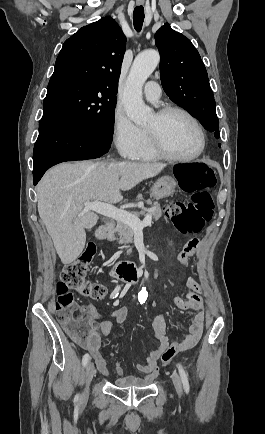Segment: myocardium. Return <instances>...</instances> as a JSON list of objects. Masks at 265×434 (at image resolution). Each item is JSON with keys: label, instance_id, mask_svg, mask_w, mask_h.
I'll return each mask as SVG.
<instances>
[{"label": "myocardium", "instance_id": "obj_1", "mask_svg": "<svg viewBox=\"0 0 265 434\" xmlns=\"http://www.w3.org/2000/svg\"><path fill=\"white\" fill-rule=\"evenodd\" d=\"M172 113L183 114L194 124V126L197 129V132L199 135V141H200L199 148L194 154H192L190 156H178V155L174 154L165 146V144L163 142V138H162L163 123L165 122L167 117ZM156 118H157V124L153 127H148L147 130L150 134L153 148L161 158H164L166 160L173 161V162H183L184 163V162H192V161L198 159L199 157H201V155L204 153V151L206 149V135H205L204 128H203L202 124L191 112H189L187 109H185L181 106L168 105V106L161 108L157 112Z\"/></svg>", "mask_w": 265, "mask_h": 434}]
</instances>
